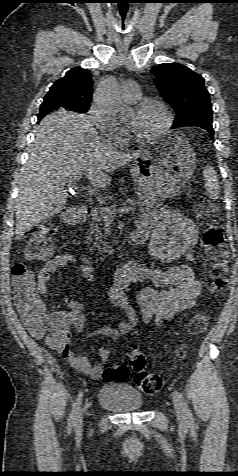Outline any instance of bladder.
<instances>
[{
    "mask_svg": "<svg viewBox=\"0 0 238 476\" xmlns=\"http://www.w3.org/2000/svg\"><path fill=\"white\" fill-rule=\"evenodd\" d=\"M98 402L103 408L117 413L135 412L143 407L141 393L122 383L105 384L98 394Z\"/></svg>",
    "mask_w": 238,
    "mask_h": 476,
    "instance_id": "obj_1",
    "label": "bladder"
}]
</instances>
